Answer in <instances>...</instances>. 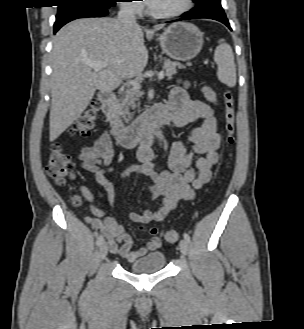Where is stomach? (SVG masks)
<instances>
[{
	"mask_svg": "<svg viewBox=\"0 0 304 329\" xmlns=\"http://www.w3.org/2000/svg\"><path fill=\"white\" fill-rule=\"evenodd\" d=\"M163 52L178 61H188L196 57L203 46V33L193 24L176 22L159 36Z\"/></svg>",
	"mask_w": 304,
	"mask_h": 329,
	"instance_id": "0dacf381",
	"label": "stomach"
}]
</instances>
